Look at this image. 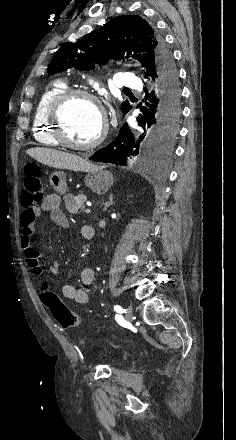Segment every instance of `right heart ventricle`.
I'll list each match as a JSON object with an SVG mask.
<instances>
[{
    "label": "right heart ventricle",
    "mask_w": 236,
    "mask_h": 440,
    "mask_svg": "<svg viewBox=\"0 0 236 440\" xmlns=\"http://www.w3.org/2000/svg\"><path fill=\"white\" fill-rule=\"evenodd\" d=\"M67 88L63 79L53 80L41 93L33 113V137L41 145L58 147L47 121V110L52 99Z\"/></svg>",
    "instance_id": "obj_1"
}]
</instances>
